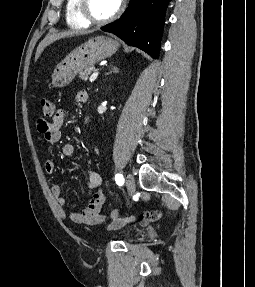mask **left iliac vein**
I'll use <instances>...</instances> for the list:
<instances>
[{"mask_svg": "<svg viewBox=\"0 0 255 287\" xmlns=\"http://www.w3.org/2000/svg\"><path fill=\"white\" fill-rule=\"evenodd\" d=\"M126 185H127V190H128V193L130 195L134 194L135 192V181H134V178L131 174H128L127 177H126Z\"/></svg>", "mask_w": 255, "mask_h": 287, "instance_id": "obj_1", "label": "left iliac vein"}]
</instances>
